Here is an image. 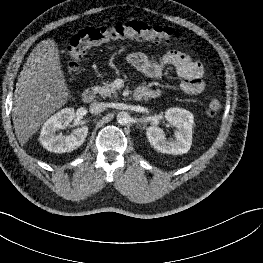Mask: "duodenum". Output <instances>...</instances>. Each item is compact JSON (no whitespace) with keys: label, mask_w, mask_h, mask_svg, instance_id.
Segmentation results:
<instances>
[{"label":"duodenum","mask_w":263,"mask_h":263,"mask_svg":"<svg viewBox=\"0 0 263 263\" xmlns=\"http://www.w3.org/2000/svg\"><path fill=\"white\" fill-rule=\"evenodd\" d=\"M95 95H96V91L94 88H87L82 93V100L86 103H90L94 100ZM150 95L151 93L148 90L139 88L134 92L133 97L135 100L141 101L149 98Z\"/></svg>","instance_id":"obj_1"}]
</instances>
